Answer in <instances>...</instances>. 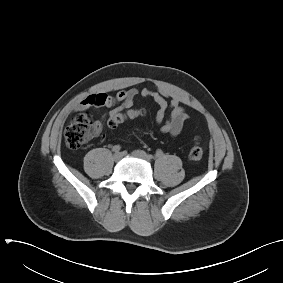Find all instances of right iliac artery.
I'll use <instances>...</instances> for the list:
<instances>
[{"label":"right iliac artery","mask_w":283,"mask_h":283,"mask_svg":"<svg viewBox=\"0 0 283 283\" xmlns=\"http://www.w3.org/2000/svg\"><path fill=\"white\" fill-rule=\"evenodd\" d=\"M121 150V146L120 145H115V146H113V148H112V151L113 152H119Z\"/></svg>","instance_id":"82829eb1"}]
</instances>
